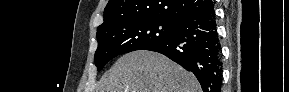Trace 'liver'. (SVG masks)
Returning <instances> with one entry per match:
<instances>
[{"mask_svg": "<svg viewBox=\"0 0 289 92\" xmlns=\"http://www.w3.org/2000/svg\"><path fill=\"white\" fill-rule=\"evenodd\" d=\"M100 92H201L196 77L156 52L120 57L102 77Z\"/></svg>", "mask_w": 289, "mask_h": 92, "instance_id": "liver-1", "label": "liver"}]
</instances>
